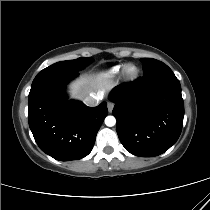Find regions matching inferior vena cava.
<instances>
[{
    "label": "inferior vena cava",
    "instance_id": "inferior-vena-cava-1",
    "mask_svg": "<svg viewBox=\"0 0 210 210\" xmlns=\"http://www.w3.org/2000/svg\"><path fill=\"white\" fill-rule=\"evenodd\" d=\"M84 103L87 105V106H96L98 103H99V99L94 96V95H91V96H87L85 99H84Z\"/></svg>",
    "mask_w": 210,
    "mask_h": 210
}]
</instances>
